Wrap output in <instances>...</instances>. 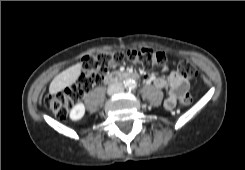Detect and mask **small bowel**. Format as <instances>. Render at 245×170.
I'll use <instances>...</instances> for the list:
<instances>
[{
    "label": "small bowel",
    "instance_id": "obj_1",
    "mask_svg": "<svg viewBox=\"0 0 245 170\" xmlns=\"http://www.w3.org/2000/svg\"><path fill=\"white\" fill-rule=\"evenodd\" d=\"M147 83L154 84L158 89H166L169 87L164 102L166 110H172L177 101L181 100L189 90V81L182 77L177 71H172L167 77H145Z\"/></svg>",
    "mask_w": 245,
    "mask_h": 170
}]
</instances>
